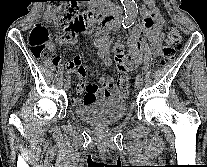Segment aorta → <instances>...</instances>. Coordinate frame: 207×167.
<instances>
[{
    "label": "aorta",
    "mask_w": 207,
    "mask_h": 167,
    "mask_svg": "<svg viewBox=\"0 0 207 167\" xmlns=\"http://www.w3.org/2000/svg\"><path fill=\"white\" fill-rule=\"evenodd\" d=\"M125 10V16L122 20L123 28L131 27L137 17L138 10L135 0H121Z\"/></svg>",
    "instance_id": "1"
}]
</instances>
